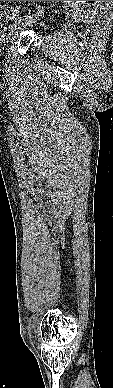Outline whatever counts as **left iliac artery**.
<instances>
[{
  "label": "left iliac artery",
  "instance_id": "1",
  "mask_svg": "<svg viewBox=\"0 0 113 388\" xmlns=\"http://www.w3.org/2000/svg\"><path fill=\"white\" fill-rule=\"evenodd\" d=\"M38 11H41L42 13H44L43 8L40 7V6L38 8ZM37 14H38V12L35 13V14H32V15H25V16L18 17V18L15 19V23H21L22 21H24L26 19H33L34 17L37 16Z\"/></svg>",
  "mask_w": 113,
  "mask_h": 388
}]
</instances>
